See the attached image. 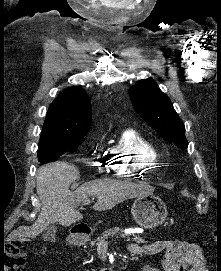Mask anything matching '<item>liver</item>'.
<instances>
[{
  "label": "liver",
  "mask_w": 221,
  "mask_h": 271,
  "mask_svg": "<svg viewBox=\"0 0 221 271\" xmlns=\"http://www.w3.org/2000/svg\"><path fill=\"white\" fill-rule=\"evenodd\" d=\"M78 177L76 165L68 161H53L38 167L36 189L42 203L41 211L33 225L18 229L13 237L20 241H31L30 237H36L55 221L65 227L80 221L83 215L76 207L81 201H87L89 195L97 197L93 209L106 211L124 201L126 197H139L140 193H148L145 187L139 189L135 183L105 177L92 179L78 187L76 191H71L70 185Z\"/></svg>",
  "instance_id": "obj_1"
}]
</instances>
